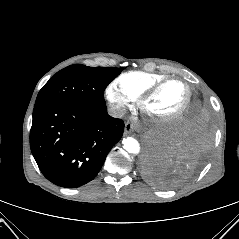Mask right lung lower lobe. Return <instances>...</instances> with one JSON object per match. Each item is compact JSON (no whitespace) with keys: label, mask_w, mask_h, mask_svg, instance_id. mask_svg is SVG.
<instances>
[{"label":"right lung lower lobe","mask_w":239,"mask_h":239,"mask_svg":"<svg viewBox=\"0 0 239 239\" xmlns=\"http://www.w3.org/2000/svg\"><path fill=\"white\" fill-rule=\"evenodd\" d=\"M123 131V121L109 116L106 105H41L33 110L30 147L49 181L74 188L96 177Z\"/></svg>","instance_id":"right-lung-lower-lobe-1"}]
</instances>
